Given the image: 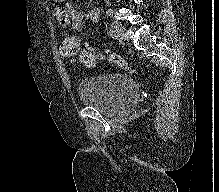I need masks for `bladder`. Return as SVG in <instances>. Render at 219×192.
Listing matches in <instances>:
<instances>
[{
  "mask_svg": "<svg viewBox=\"0 0 219 192\" xmlns=\"http://www.w3.org/2000/svg\"><path fill=\"white\" fill-rule=\"evenodd\" d=\"M77 92L82 105L99 110L109 119L130 111L139 93L133 79L115 73L87 77L79 83Z\"/></svg>",
  "mask_w": 219,
  "mask_h": 192,
  "instance_id": "1",
  "label": "bladder"
}]
</instances>
